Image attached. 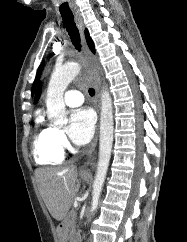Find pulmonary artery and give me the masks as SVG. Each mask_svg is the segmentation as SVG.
I'll return each mask as SVG.
<instances>
[{
  "label": "pulmonary artery",
  "instance_id": "e3ab8cb5",
  "mask_svg": "<svg viewBox=\"0 0 187 242\" xmlns=\"http://www.w3.org/2000/svg\"><path fill=\"white\" fill-rule=\"evenodd\" d=\"M64 101L68 106H79L83 103V96L77 90H68L64 94Z\"/></svg>",
  "mask_w": 187,
  "mask_h": 242
}]
</instances>
